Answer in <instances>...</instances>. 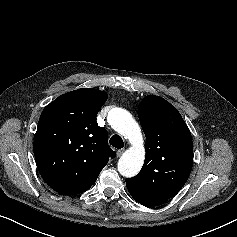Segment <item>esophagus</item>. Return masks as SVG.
<instances>
[{"label": "esophagus", "instance_id": "1", "mask_svg": "<svg viewBox=\"0 0 237 237\" xmlns=\"http://www.w3.org/2000/svg\"><path fill=\"white\" fill-rule=\"evenodd\" d=\"M124 149H120L116 152L117 157H120L124 153Z\"/></svg>", "mask_w": 237, "mask_h": 237}]
</instances>
